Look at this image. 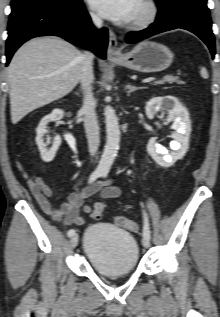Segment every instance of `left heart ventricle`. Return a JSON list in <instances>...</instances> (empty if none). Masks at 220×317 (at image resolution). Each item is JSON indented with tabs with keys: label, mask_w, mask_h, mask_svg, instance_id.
Segmentation results:
<instances>
[{
	"label": "left heart ventricle",
	"mask_w": 220,
	"mask_h": 317,
	"mask_svg": "<svg viewBox=\"0 0 220 317\" xmlns=\"http://www.w3.org/2000/svg\"><path fill=\"white\" fill-rule=\"evenodd\" d=\"M142 12H143V5L141 4L140 0H138L135 4L134 14L132 19L139 16Z\"/></svg>",
	"instance_id": "obj_1"
}]
</instances>
